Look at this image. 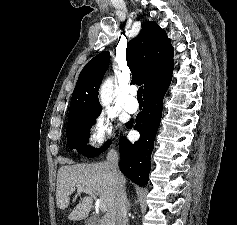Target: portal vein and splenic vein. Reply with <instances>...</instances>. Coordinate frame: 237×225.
<instances>
[{
    "mask_svg": "<svg viewBox=\"0 0 237 225\" xmlns=\"http://www.w3.org/2000/svg\"><path fill=\"white\" fill-rule=\"evenodd\" d=\"M77 191L78 192H85V193L89 194L93 199H95L97 207L102 212H105L107 210L106 205L101 200L97 199L96 194H94L90 189L80 186V187L77 188Z\"/></svg>",
    "mask_w": 237,
    "mask_h": 225,
    "instance_id": "18ae733b",
    "label": "portal vein and splenic vein"
}]
</instances>
